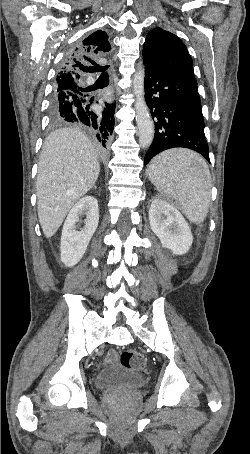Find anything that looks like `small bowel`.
Instances as JSON below:
<instances>
[{
    "label": "small bowel",
    "instance_id": "c3829d8e",
    "mask_svg": "<svg viewBox=\"0 0 250 454\" xmlns=\"http://www.w3.org/2000/svg\"><path fill=\"white\" fill-rule=\"evenodd\" d=\"M114 358H115V353L114 352H110L107 355V361H112V360H114Z\"/></svg>",
    "mask_w": 250,
    "mask_h": 454
}]
</instances>
